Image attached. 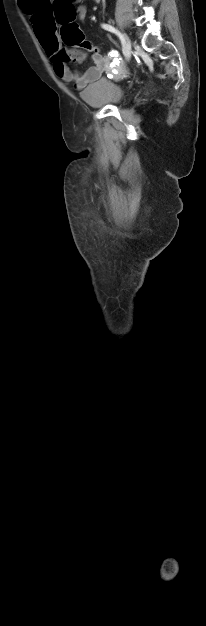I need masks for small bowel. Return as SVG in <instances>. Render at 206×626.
I'll list each match as a JSON object with an SVG mask.
<instances>
[{
	"label": "small bowel",
	"mask_w": 206,
	"mask_h": 626,
	"mask_svg": "<svg viewBox=\"0 0 206 626\" xmlns=\"http://www.w3.org/2000/svg\"><path fill=\"white\" fill-rule=\"evenodd\" d=\"M49 2L44 9H30L31 21L35 35L42 48L51 57L55 74L64 82L73 83L81 90L88 84L98 80L103 71L115 69L119 64V56L115 50L108 55H103L99 50H95L92 55L93 65L84 72L73 71L61 56L60 44L56 36V26L51 10H48ZM87 14V7L80 4L75 12L79 20H84Z\"/></svg>",
	"instance_id": "c3829d8e"
}]
</instances>
